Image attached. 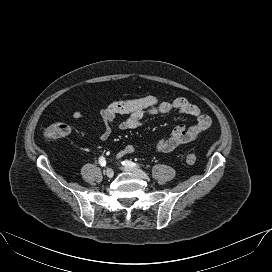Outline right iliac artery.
<instances>
[{
  "mask_svg": "<svg viewBox=\"0 0 272 272\" xmlns=\"http://www.w3.org/2000/svg\"><path fill=\"white\" fill-rule=\"evenodd\" d=\"M99 164H100L102 167L106 165V160H105V158H104L103 156H101V157L99 158Z\"/></svg>",
  "mask_w": 272,
  "mask_h": 272,
  "instance_id": "1",
  "label": "right iliac artery"
}]
</instances>
